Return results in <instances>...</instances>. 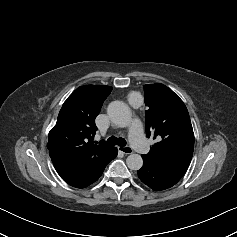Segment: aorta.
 I'll return each mask as SVG.
<instances>
[{
    "label": "aorta",
    "instance_id": "1",
    "mask_svg": "<svg viewBox=\"0 0 237 237\" xmlns=\"http://www.w3.org/2000/svg\"><path fill=\"white\" fill-rule=\"evenodd\" d=\"M107 113L112 123L118 127H126L131 122L130 110L122 101L111 102ZM126 164L130 170H139L143 166V159L139 154H130L126 159Z\"/></svg>",
    "mask_w": 237,
    "mask_h": 237
}]
</instances>
